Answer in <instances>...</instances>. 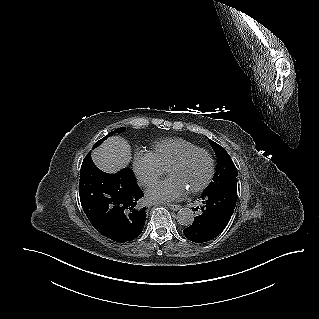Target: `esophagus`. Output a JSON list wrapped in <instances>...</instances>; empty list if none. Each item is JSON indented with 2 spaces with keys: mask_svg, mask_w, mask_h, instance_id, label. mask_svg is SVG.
Wrapping results in <instances>:
<instances>
[{
  "mask_svg": "<svg viewBox=\"0 0 319 319\" xmlns=\"http://www.w3.org/2000/svg\"><path fill=\"white\" fill-rule=\"evenodd\" d=\"M166 206L173 211H178L180 209V206L175 204H166Z\"/></svg>",
  "mask_w": 319,
  "mask_h": 319,
  "instance_id": "1",
  "label": "esophagus"
}]
</instances>
